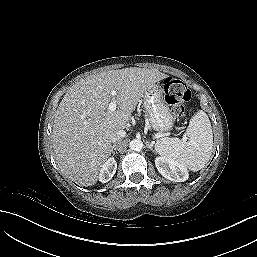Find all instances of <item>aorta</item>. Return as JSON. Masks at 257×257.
Wrapping results in <instances>:
<instances>
[{
  "label": "aorta",
  "instance_id": "1",
  "mask_svg": "<svg viewBox=\"0 0 257 257\" xmlns=\"http://www.w3.org/2000/svg\"><path fill=\"white\" fill-rule=\"evenodd\" d=\"M129 147L132 151L139 152L143 149L144 145L141 139H133L130 141Z\"/></svg>",
  "mask_w": 257,
  "mask_h": 257
}]
</instances>
